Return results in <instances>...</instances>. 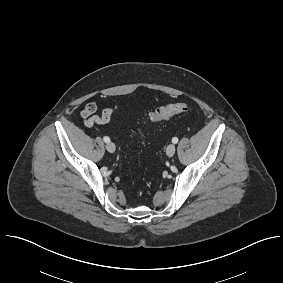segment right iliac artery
Segmentation results:
<instances>
[{
	"label": "right iliac artery",
	"mask_w": 283,
	"mask_h": 283,
	"mask_svg": "<svg viewBox=\"0 0 283 283\" xmlns=\"http://www.w3.org/2000/svg\"><path fill=\"white\" fill-rule=\"evenodd\" d=\"M103 140H104V142H106V143L110 142V138L107 137V136H105V137L103 138Z\"/></svg>",
	"instance_id": "82829eb1"
}]
</instances>
